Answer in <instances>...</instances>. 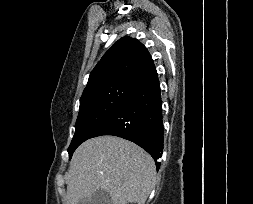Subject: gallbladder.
I'll return each instance as SVG.
<instances>
[{
	"mask_svg": "<svg viewBox=\"0 0 253 204\" xmlns=\"http://www.w3.org/2000/svg\"><path fill=\"white\" fill-rule=\"evenodd\" d=\"M78 204H112V199L110 194L104 189L96 190L90 200H80Z\"/></svg>",
	"mask_w": 253,
	"mask_h": 204,
	"instance_id": "bac80fb5",
	"label": "gallbladder"
}]
</instances>
